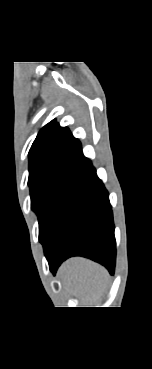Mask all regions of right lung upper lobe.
Masks as SVG:
<instances>
[{"mask_svg":"<svg viewBox=\"0 0 152 369\" xmlns=\"http://www.w3.org/2000/svg\"><path fill=\"white\" fill-rule=\"evenodd\" d=\"M87 158L81 143L67 127L52 120L38 133L29 151V172L40 167L59 164L82 165Z\"/></svg>","mask_w":152,"mask_h":369,"instance_id":"obj_1","label":"right lung upper lobe"}]
</instances>
